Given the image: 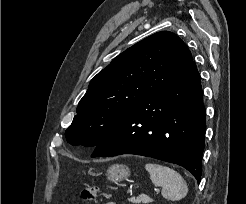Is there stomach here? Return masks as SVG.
<instances>
[{
    "instance_id": "0dacf381",
    "label": "stomach",
    "mask_w": 246,
    "mask_h": 204,
    "mask_svg": "<svg viewBox=\"0 0 246 204\" xmlns=\"http://www.w3.org/2000/svg\"><path fill=\"white\" fill-rule=\"evenodd\" d=\"M107 179L112 182H120L130 176V169L126 165L115 164L108 168Z\"/></svg>"
}]
</instances>
